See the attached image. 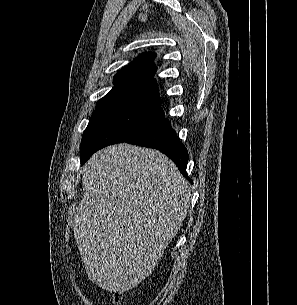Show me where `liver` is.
<instances>
[{
	"label": "liver",
	"mask_w": 297,
	"mask_h": 305,
	"mask_svg": "<svg viewBox=\"0 0 297 305\" xmlns=\"http://www.w3.org/2000/svg\"><path fill=\"white\" fill-rule=\"evenodd\" d=\"M74 237L90 281L124 293L141 283L176 236L191 190L174 162L154 149L117 144L83 167Z\"/></svg>",
	"instance_id": "obj_1"
}]
</instances>
